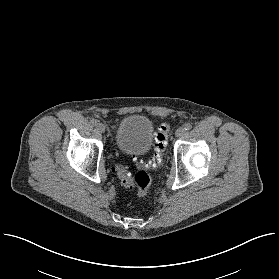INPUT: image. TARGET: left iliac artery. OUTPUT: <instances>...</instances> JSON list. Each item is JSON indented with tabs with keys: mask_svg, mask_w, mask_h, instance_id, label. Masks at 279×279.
<instances>
[{
	"mask_svg": "<svg viewBox=\"0 0 279 279\" xmlns=\"http://www.w3.org/2000/svg\"><path fill=\"white\" fill-rule=\"evenodd\" d=\"M192 128V125L190 123H185L184 124V129L187 131V130H190Z\"/></svg>",
	"mask_w": 279,
	"mask_h": 279,
	"instance_id": "left-iliac-artery-1",
	"label": "left iliac artery"
}]
</instances>
